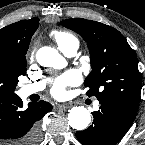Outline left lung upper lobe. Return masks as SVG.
I'll use <instances>...</instances> for the list:
<instances>
[{
	"mask_svg": "<svg viewBox=\"0 0 145 145\" xmlns=\"http://www.w3.org/2000/svg\"><path fill=\"white\" fill-rule=\"evenodd\" d=\"M61 24L87 42L92 71L84 84L87 95L100 103L116 104L137 112L142 87L137 57L125 37L116 29L96 21L76 18Z\"/></svg>",
	"mask_w": 145,
	"mask_h": 145,
	"instance_id": "left-lung-upper-lobe-1",
	"label": "left lung upper lobe"
}]
</instances>
